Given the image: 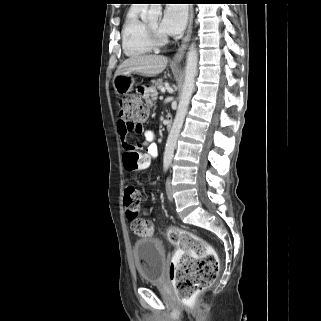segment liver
Segmentation results:
<instances>
[{"label":"liver","instance_id":"6515ba94","mask_svg":"<svg viewBox=\"0 0 321 321\" xmlns=\"http://www.w3.org/2000/svg\"><path fill=\"white\" fill-rule=\"evenodd\" d=\"M168 59L162 55L132 56L118 67L115 76L123 73H139L143 76H156L164 71Z\"/></svg>","mask_w":321,"mask_h":321}]
</instances>
